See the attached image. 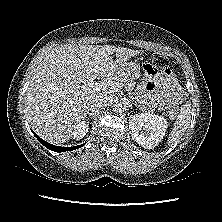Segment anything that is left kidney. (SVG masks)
Returning a JSON list of instances; mask_svg holds the SVG:
<instances>
[{
    "label": "left kidney",
    "mask_w": 222,
    "mask_h": 222,
    "mask_svg": "<svg viewBox=\"0 0 222 222\" xmlns=\"http://www.w3.org/2000/svg\"><path fill=\"white\" fill-rule=\"evenodd\" d=\"M167 120L159 115L143 112L129 117V129L134 141L146 149L155 148L167 130Z\"/></svg>",
    "instance_id": "left-kidney-1"
}]
</instances>
